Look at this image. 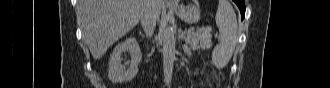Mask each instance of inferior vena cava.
Here are the masks:
<instances>
[{"instance_id": "602c4592", "label": "inferior vena cava", "mask_w": 330, "mask_h": 88, "mask_svg": "<svg viewBox=\"0 0 330 88\" xmlns=\"http://www.w3.org/2000/svg\"><path fill=\"white\" fill-rule=\"evenodd\" d=\"M157 18L158 11L156 9V0H147V5L140 18L147 37L153 35Z\"/></svg>"}]
</instances>
